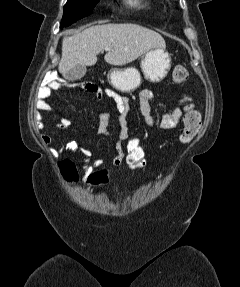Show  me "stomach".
Listing matches in <instances>:
<instances>
[{
  "mask_svg": "<svg viewBox=\"0 0 240 287\" xmlns=\"http://www.w3.org/2000/svg\"><path fill=\"white\" fill-rule=\"evenodd\" d=\"M171 68V57L165 48H153L145 53L141 60V70L145 79L150 82H161ZM109 83L121 92H131L141 84V75L138 69L113 68L108 73Z\"/></svg>",
  "mask_w": 240,
  "mask_h": 287,
  "instance_id": "0dacf381",
  "label": "stomach"
}]
</instances>
